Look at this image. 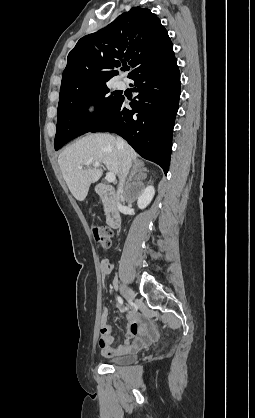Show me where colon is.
I'll list each match as a JSON object with an SVG mask.
<instances>
[{
	"label": "colon",
	"mask_w": 255,
	"mask_h": 418,
	"mask_svg": "<svg viewBox=\"0 0 255 418\" xmlns=\"http://www.w3.org/2000/svg\"><path fill=\"white\" fill-rule=\"evenodd\" d=\"M91 233L100 248L108 249L110 247L112 234L108 229L99 225H92Z\"/></svg>",
	"instance_id": "obj_1"
}]
</instances>
